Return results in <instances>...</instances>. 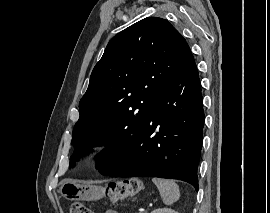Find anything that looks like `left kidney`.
Segmentation results:
<instances>
[{
    "label": "left kidney",
    "instance_id": "obj_1",
    "mask_svg": "<svg viewBox=\"0 0 270 213\" xmlns=\"http://www.w3.org/2000/svg\"><path fill=\"white\" fill-rule=\"evenodd\" d=\"M151 213H178L175 210H172L171 208H158Z\"/></svg>",
    "mask_w": 270,
    "mask_h": 213
}]
</instances>
